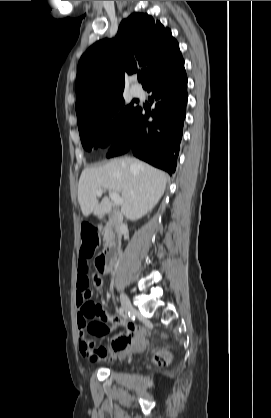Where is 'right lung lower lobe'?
<instances>
[{
	"mask_svg": "<svg viewBox=\"0 0 271 418\" xmlns=\"http://www.w3.org/2000/svg\"><path fill=\"white\" fill-rule=\"evenodd\" d=\"M145 90L152 93L150 104L155 109L149 112L139 107L130 121L116 132L118 138L107 156L122 155L131 150L136 157L172 175L177 164L188 97L184 60L154 79Z\"/></svg>",
	"mask_w": 271,
	"mask_h": 418,
	"instance_id": "1",
	"label": "right lung lower lobe"
}]
</instances>
